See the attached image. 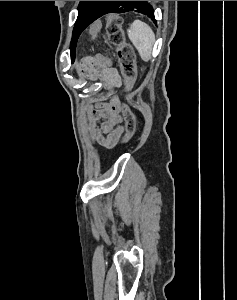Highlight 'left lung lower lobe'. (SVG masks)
<instances>
[{"label":"left lung lower lobe","mask_w":237,"mask_h":300,"mask_svg":"<svg viewBox=\"0 0 237 300\" xmlns=\"http://www.w3.org/2000/svg\"><path fill=\"white\" fill-rule=\"evenodd\" d=\"M123 1H109V3L104 7L102 12L99 14V17L107 13H122L126 12L125 8L122 5ZM98 17V18H99Z\"/></svg>","instance_id":"0a47b994"}]
</instances>
